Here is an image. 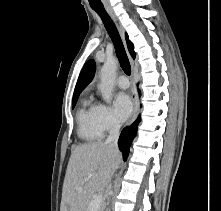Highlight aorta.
I'll use <instances>...</instances> for the list:
<instances>
[{"label":"aorta","mask_w":221,"mask_h":211,"mask_svg":"<svg viewBox=\"0 0 221 211\" xmlns=\"http://www.w3.org/2000/svg\"><path fill=\"white\" fill-rule=\"evenodd\" d=\"M117 70V60L108 59L101 68L100 78L101 83L99 85V90L101 92L102 98L107 103L112 100V93L115 83Z\"/></svg>","instance_id":"aorta-1"}]
</instances>
